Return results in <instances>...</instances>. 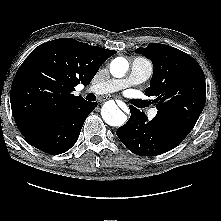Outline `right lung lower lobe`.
<instances>
[{
	"label": "right lung lower lobe",
	"instance_id": "1",
	"mask_svg": "<svg viewBox=\"0 0 221 221\" xmlns=\"http://www.w3.org/2000/svg\"><path fill=\"white\" fill-rule=\"evenodd\" d=\"M97 105V102L83 101L71 110L42 122L23 136L45 153H64L76 143L87 116Z\"/></svg>",
	"mask_w": 221,
	"mask_h": 221
}]
</instances>
